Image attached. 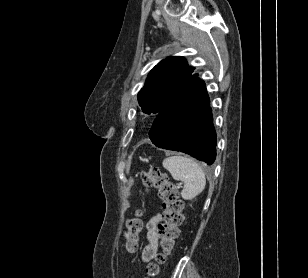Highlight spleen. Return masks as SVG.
I'll return each instance as SVG.
<instances>
[{"label": "spleen", "mask_w": 308, "mask_h": 278, "mask_svg": "<svg viewBox=\"0 0 308 278\" xmlns=\"http://www.w3.org/2000/svg\"><path fill=\"white\" fill-rule=\"evenodd\" d=\"M163 167L175 180L184 182L181 196L184 200H192L205 188L206 178L201 166L192 158L169 156L163 160Z\"/></svg>", "instance_id": "1"}]
</instances>
